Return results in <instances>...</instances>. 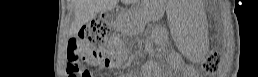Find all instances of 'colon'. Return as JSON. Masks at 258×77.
I'll return each instance as SVG.
<instances>
[{
    "label": "colon",
    "instance_id": "obj_1",
    "mask_svg": "<svg viewBox=\"0 0 258 77\" xmlns=\"http://www.w3.org/2000/svg\"><path fill=\"white\" fill-rule=\"evenodd\" d=\"M109 30L101 20H94L84 26L78 36L68 47V67L67 71L71 77L81 74V54L83 49L98 48L104 46ZM220 58L217 53H211L202 62L203 70L207 74H215L219 68Z\"/></svg>",
    "mask_w": 258,
    "mask_h": 77
}]
</instances>
